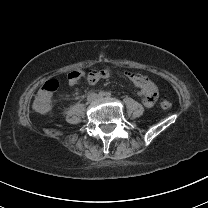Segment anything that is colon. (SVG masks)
Returning <instances> with one entry per match:
<instances>
[{
	"label": "colon",
	"mask_w": 208,
	"mask_h": 208,
	"mask_svg": "<svg viewBox=\"0 0 208 208\" xmlns=\"http://www.w3.org/2000/svg\"><path fill=\"white\" fill-rule=\"evenodd\" d=\"M85 75V72L83 70L78 71H69L67 73L66 81L68 84H73L78 81V78H81ZM59 89V82L55 79H51L50 81L46 82L44 84V87H42L38 93H37V99L34 102L35 110L39 114H46L50 110V103L48 102L52 95ZM160 106L163 109H169L172 106V103L170 99L163 98L160 101Z\"/></svg>",
	"instance_id": "1"
}]
</instances>
